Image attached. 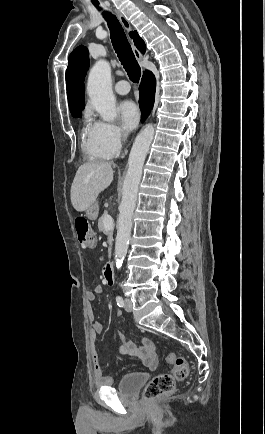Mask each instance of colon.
<instances>
[{"instance_id": "obj_1", "label": "colon", "mask_w": 265, "mask_h": 434, "mask_svg": "<svg viewBox=\"0 0 265 434\" xmlns=\"http://www.w3.org/2000/svg\"><path fill=\"white\" fill-rule=\"evenodd\" d=\"M74 226L82 249H92L96 244V234L89 220L77 218L74 221ZM167 363L172 366V373H158L153 377L144 390L146 401H151V397L173 392L176 381L185 380L188 377L189 365L185 359L171 354L167 357Z\"/></svg>"}]
</instances>
